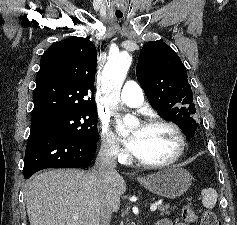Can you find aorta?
<instances>
[{
    "label": "aorta",
    "mask_w": 237,
    "mask_h": 225,
    "mask_svg": "<svg viewBox=\"0 0 237 225\" xmlns=\"http://www.w3.org/2000/svg\"><path fill=\"white\" fill-rule=\"evenodd\" d=\"M131 65V56L128 52H121L110 56L102 73V92L104 101L112 109H116L120 99V91L128 69ZM125 129L121 133L130 131L138 124V120L131 115L123 117Z\"/></svg>",
    "instance_id": "1"
}]
</instances>
